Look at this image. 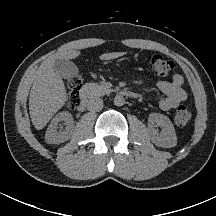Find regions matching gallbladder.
Listing matches in <instances>:
<instances>
[{"instance_id":"1","label":"gallbladder","mask_w":216,"mask_h":216,"mask_svg":"<svg viewBox=\"0 0 216 216\" xmlns=\"http://www.w3.org/2000/svg\"><path fill=\"white\" fill-rule=\"evenodd\" d=\"M54 70L65 79L77 76L79 73L78 67L72 61L66 59H56Z\"/></svg>"}]
</instances>
